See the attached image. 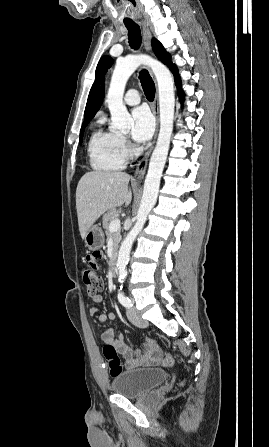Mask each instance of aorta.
<instances>
[{"instance_id":"1","label":"aorta","mask_w":269,"mask_h":447,"mask_svg":"<svg viewBox=\"0 0 269 447\" xmlns=\"http://www.w3.org/2000/svg\"><path fill=\"white\" fill-rule=\"evenodd\" d=\"M139 66L151 68L158 82L160 130L150 158L143 196L136 216L137 222L127 233L119 249L117 259L119 281H124L127 275L126 265L129 261L132 243L139 231L143 229L149 212L157 202L160 180L166 164L174 124L175 94L171 72L158 60L140 54V56H126V58L116 60L115 70L105 100L111 114L110 130H122V132L131 130L133 120L123 104V96L130 76Z\"/></svg>"}]
</instances>
